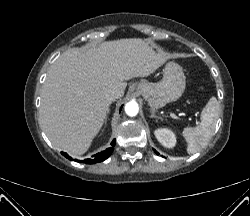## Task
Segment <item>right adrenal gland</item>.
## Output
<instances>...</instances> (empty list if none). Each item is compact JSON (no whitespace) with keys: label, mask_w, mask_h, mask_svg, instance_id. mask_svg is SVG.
<instances>
[{"label":"right adrenal gland","mask_w":250,"mask_h":216,"mask_svg":"<svg viewBox=\"0 0 250 216\" xmlns=\"http://www.w3.org/2000/svg\"><path fill=\"white\" fill-rule=\"evenodd\" d=\"M109 112V111H108ZM105 122H107V117L105 118Z\"/></svg>","instance_id":"2a0ac1e0"}]
</instances>
